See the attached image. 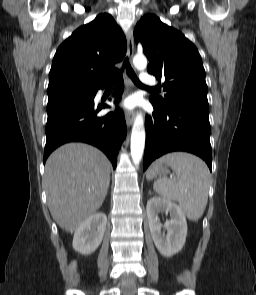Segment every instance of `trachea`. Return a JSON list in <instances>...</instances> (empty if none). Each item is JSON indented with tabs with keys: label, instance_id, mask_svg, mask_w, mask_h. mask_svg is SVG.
Instances as JSON below:
<instances>
[{
	"label": "trachea",
	"instance_id": "trachea-1",
	"mask_svg": "<svg viewBox=\"0 0 256 295\" xmlns=\"http://www.w3.org/2000/svg\"><path fill=\"white\" fill-rule=\"evenodd\" d=\"M124 68L126 69V73L128 74V76L132 79V81L141 86L142 88H146L149 90H156L155 88H150L148 86L143 85L140 80L138 79V77L136 76V74L134 73L133 69L131 68L130 64H129V60L128 58H126L123 62V67H122V71L124 70Z\"/></svg>",
	"mask_w": 256,
	"mask_h": 295
}]
</instances>
